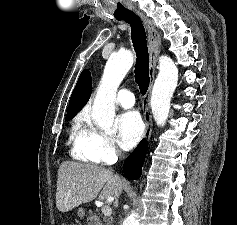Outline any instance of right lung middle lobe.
Here are the masks:
<instances>
[{
    "instance_id": "right-lung-middle-lobe-1",
    "label": "right lung middle lobe",
    "mask_w": 237,
    "mask_h": 225,
    "mask_svg": "<svg viewBox=\"0 0 237 225\" xmlns=\"http://www.w3.org/2000/svg\"><path fill=\"white\" fill-rule=\"evenodd\" d=\"M75 116V114L74 115H69V116H66V121H68V120H70V119H72L73 117Z\"/></svg>"
}]
</instances>
